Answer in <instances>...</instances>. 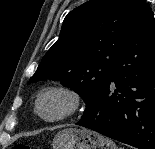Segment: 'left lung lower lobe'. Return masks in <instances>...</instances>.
Instances as JSON below:
<instances>
[{"label":"left lung lower lobe","mask_w":155,"mask_h":149,"mask_svg":"<svg viewBox=\"0 0 155 149\" xmlns=\"http://www.w3.org/2000/svg\"><path fill=\"white\" fill-rule=\"evenodd\" d=\"M116 85L110 94V84ZM77 125L138 149H155V23L147 14Z\"/></svg>","instance_id":"obj_1"}]
</instances>
